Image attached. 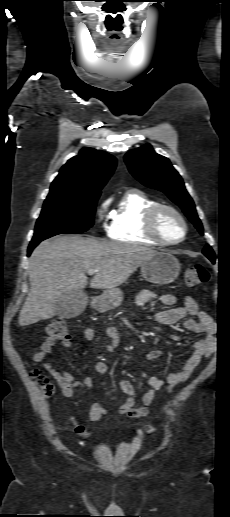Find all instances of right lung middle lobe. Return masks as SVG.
<instances>
[{
    "label": "right lung middle lobe",
    "instance_id": "1",
    "mask_svg": "<svg viewBox=\"0 0 230 517\" xmlns=\"http://www.w3.org/2000/svg\"><path fill=\"white\" fill-rule=\"evenodd\" d=\"M100 196H60L46 198L36 222L33 243L58 234L85 232L93 225Z\"/></svg>",
    "mask_w": 230,
    "mask_h": 517
}]
</instances>
